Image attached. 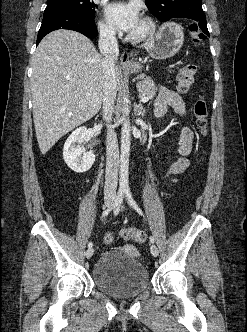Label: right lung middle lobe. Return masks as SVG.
<instances>
[{
  "label": "right lung middle lobe",
  "mask_w": 247,
  "mask_h": 332,
  "mask_svg": "<svg viewBox=\"0 0 247 332\" xmlns=\"http://www.w3.org/2000/svg\"><path fill=\"white\" fill-rule=\"evenodd\" d=\"M95 8L97 5L92 0H47L44 12L68 10L95 17Z\"/></svg>",
  "instance_id": "right-lung-middle-lobe-1"
}]
</instances>
